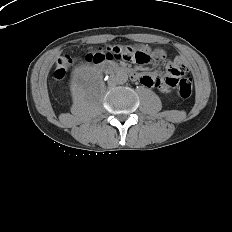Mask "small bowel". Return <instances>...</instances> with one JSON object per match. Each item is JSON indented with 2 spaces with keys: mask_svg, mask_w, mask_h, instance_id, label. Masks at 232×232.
Here are the masks:
<instances>
[{
  "mask_svg": "<svg viewBox=\"0 0 232 232\" xmlns=\"http://www.w3.org/2000/svg\"><path fill=\"white\" fill-rule=\"evenodd\" d=\"M173 65L176 68L185 70V63L181 58H176ZM140 81L146 87H156L159 86L163 80L157 74H144L142 75Z\"/></svg>",
  "mask_w": 232,
  "mask_h": 232,
  "instance_id": "1",
  "label": "small bowel"
}]
</instances>
